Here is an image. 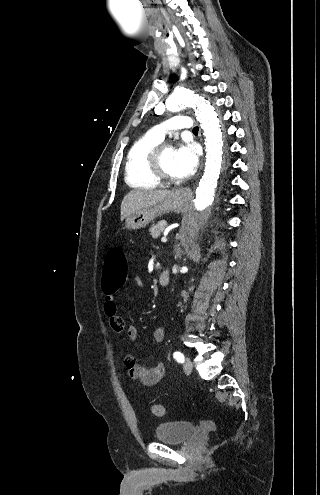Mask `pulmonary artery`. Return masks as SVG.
Masks as SVG:
<instances>
[{
    "instance_id": "1",
    "label": "pulmonary artery",
    "mask_w": 320,
    "mask_h": 495,
    "mask_svg": "<svg viewBox=\"0 0 320 495\" xmlns=\"http://www.w3.org/2000/svg\"><path fill=\"white\" fill-rule=\"evenodd\" d=\"M191 126L192 121L189 117L176 115L154 126L149 133L156 139L162 141L167 133L182 129H190Z\"/></svg>"
}]
</instances>
